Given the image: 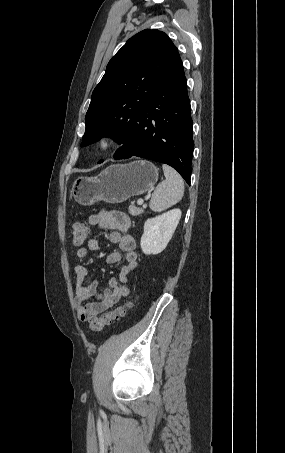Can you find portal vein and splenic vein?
Returning <instances> with one entry per match:
<instances>
[{
	"label": "portal vein and splenic vein",
	"instance_id": "1",
	"mask_svg": "<svg viewBox=\"0 0 285 453\" xmlns=\"http://www.w3.org/2000/svg\"><path fill=\"white\" fill-rule=\"evenodd\" d=\"M143 203H144L143 199H139V200L137 201V204H138V205H142Z\"/></svg>",
	"mask_w": 285,
	"mask_h": 453
}]
</instances>
